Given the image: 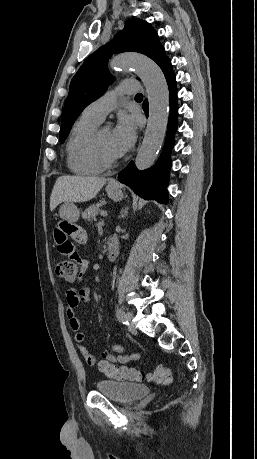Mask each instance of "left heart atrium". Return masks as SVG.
<instances>
[{"label":"left heart atrium","instance_id":"obj_1","mask_svg":"<svg viewBox=\"0 0 257 459\" xmlns=\"http://www.w3.org/2000/svg\"><path fill=\"white\" fill-rule=\"evenodd\" d=\"M137 137V120L130 115H121L112 131L113 147L118 157L125 154Z\"/></svg>","mask_w":257,"mask_h":459}]
</instances>
